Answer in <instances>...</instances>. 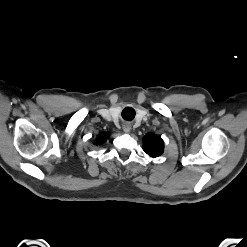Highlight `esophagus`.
<instances>
[{"label": "esophagus", "mask_w": 247, "mask_h": 247, "mask_svg": "<svg viewBox=\"0 0 247 247\" xmlns=\"http://www.w3.org/2000/svg\"><path fill=\"white\" fill-rule=\"evenodd\" d=\"M130 130H131V126H130L129 124H124V125H123V131H124L125 133H129Z\"/></svg>", "instance_id": "34e87169"}]
</instances>
